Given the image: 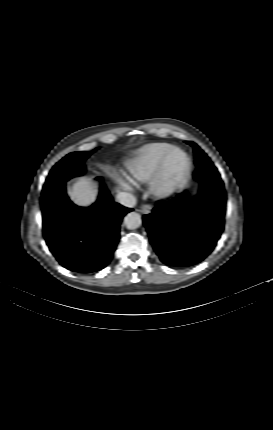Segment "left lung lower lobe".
Listing matches in <instances>:
<instances>
[{"instance_id": "left-lung-lower-lobe-1", "label": "left lung lower lobe", "mask_w": 273, "mask_h": 430, "mask_svg": "<svg viewBox=\"0 0 273 430\" xmlns=\"http://www.w3.org/2000/svg\"><path fill=\"white\" fill-rule=\"evenodd\" d=\"M193 176L200 182L199 197L178 194L143 216L153 248L163 263L173 267L204 260L224 229L226 195L216 167L201 165Z\"/></svg>"}]
</instances>
